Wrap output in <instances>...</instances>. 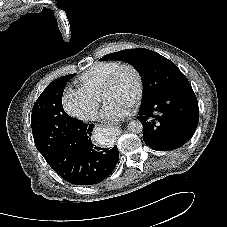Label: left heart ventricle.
I'll return each mask as SVG.
<instances>
[{
  "instance_id": "1",
  "label": "left heart ventricle",
  "mask_w": 227,
  "mask_h": 227,
  "mask_svg": "<svg viewBox=\"0 0 227 227\" xmlns=\"http://www.w3.org/2000/svg\"><path fill=\"white\" fill-rule=\"evenodd\" d=\"M136 91V79L134 74L126 70L124 71L119 79L117 80L116 84L103 91L101 93V98L107 102L110 100H119V101H126L132 102Z\"/></svg>"
}]
</instances>
